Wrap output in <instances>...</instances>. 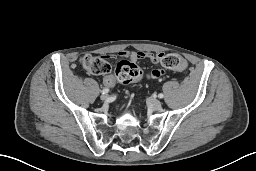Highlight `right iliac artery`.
I'll list each match as a JSON object with an SVG mask.
<instances>
[{
    "mask_svg": "<svg viewBox=\"0 0 256 171\" xmlns=\"http://www.w3.org/2000/svg\"><path fill=\"white\" fill-rule=\"evenodd\" d=\"M101 92H102V94H106V93L109 92V89L108 88H104Z\"/></svg>",
    "mask_w": 256,
    "mask_h": 171,
    "instance_id": "82829eb1",
    "label": "right iliac artery"
}]
</instances>
